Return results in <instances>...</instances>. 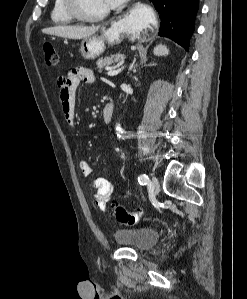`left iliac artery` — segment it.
<instances>
[{"label":"left iliac artery","instance_id":"obj_1","mask_svg":"<svg viewBox=\"0 0 247 299\" xmlns=\"http://www.w3.org/2000/svg\"><path fill=\"white\" fill-rule=\"evenodd\" d=\"M138 181L141 185H147L149 183V178L146 174H141L138 177Z\"/></svg>","mask_w":247,"mask_h":299}]
</instances>
